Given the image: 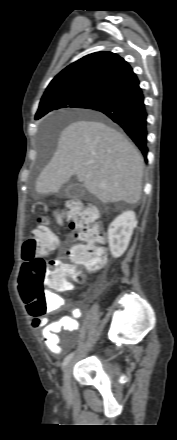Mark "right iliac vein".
Returning <instances> with one entry per match:
<instances>
[{
  "instance_id": "right-iliac-vein-1",
  "label": "right iliac vein",
  "mask_w": 177,
  "mask_h": 440,
  "mask_svg": "<svg viewBox=\"0 0 177 440\" xmlns=\"http://www.w3.org/2000/svg\"><path fill=\"white\" fill-rule=\"evenodd\" d=\"M71 371H72V362H69L65 366L63 373V386L65 392H68L71 387Z\"/></svg>"
}]
</instances>
